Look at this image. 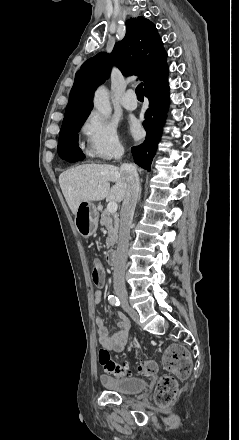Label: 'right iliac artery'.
<instances>
[{
    "label": "right iliac artery",
    "mask_w": 239,
    "mask_h": 440,
    "mask_svg": "<svg viewBox=\"0 0 239 440\" xmlns=\"http://www.w3.org/2000/svg\"><path fill=\"white\" fill-rule=\"evenodd\" d=\"M108 301L112 305H115V306H119L120 305V300L116 296L110 295L108 297Z\"/></svg>",
    "instance_id": "82829eb1"
}]
</instances>
